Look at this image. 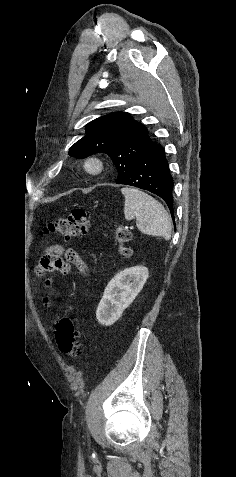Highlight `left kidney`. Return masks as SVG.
<instances>
[{"mask_svg": "<svg viewBox=\"0 0 236 477\" xmlns=\"http://www.w3.org/2000/svg\"><path fill=\"white\" fill-rule=\"evenodd\" d=\"M148 274L146 267L135 266L120 271L110 280L96 310L100 324L110 326L122 316L142 290Z\"/></svg>", "mask_w": 236, "mask_h": 477, "instance_id": "1", "label": "left kidney"}]
</instances>
